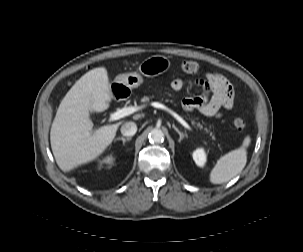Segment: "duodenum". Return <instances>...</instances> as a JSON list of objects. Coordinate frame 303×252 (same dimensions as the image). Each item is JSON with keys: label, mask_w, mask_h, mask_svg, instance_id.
<instances>
[{"label": "duodenum", "mask_w": 303, "mask_h": 252, "mask_svg": "<svg viewBox=\"0 0 303 252\" xmlns=\"http://www.w3.org/2000/svg\"><path fill=\"white\" fill-rule=\"evenodd\" d=\"M124 91V87L123 86H116V93H122Z\"/></svg>", "instance_id": "obj_1"}]
</instances>
